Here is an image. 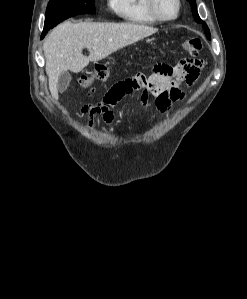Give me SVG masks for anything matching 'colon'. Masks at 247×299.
I'll return each mask as SVG.
<instances>
[{
    "label": "colon",
    "mask_w": 247,
    "mask_h": 299,
    "mask_svg": "<svg viewBox=\"0 0 247 299\" xmlns=\"http://www.w3.org/2000/svg\"><path fill=\"white\" fill-rule=\"evenodd\" d=\"M184 49L190 55H197L202 49V41L198 37L189 38L184 42ZM110 75V69L105 64H100L96 67L95 71L90 75L83 76L80 79V84L84 88L91 89L96 81H104Z\"/></svg>",
    "instance_id": "colon-1"
}]
</instances>
